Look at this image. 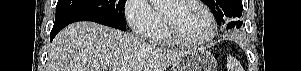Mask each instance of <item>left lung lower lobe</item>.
Returning a JSON list of instances; mask_svg holds the SVG:
<instances>
[{
  "instance_id": "1",
  "label": "left lung lower lobe",
  "mask_w": 301,
  "mask_h": 71,
  "mask_svg": "<svg viewBox=\"0 0 301 71\" xmlns=\"http://www.w3.org/2000/svg\"><path fill=\"white\" fill-rule=\"evenodd\" d=\"M242 25V21H233L227 24V28H233V27H237L240 28Z\"/></svg>"
}]
</instances>
